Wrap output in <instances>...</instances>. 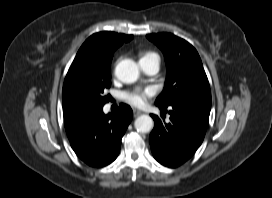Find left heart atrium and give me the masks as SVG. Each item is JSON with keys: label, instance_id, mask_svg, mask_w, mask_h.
<instances>
[{"label": "left heart atrium", "instance_id": "1", "mask_svg": "<svg viewBox=\"0 0 272 198\" xmlns=\"http://www.w3.org/2000/svg\"><path fill=\"white\" fill-rule=\"evenodd\" d=\"M152 92L147 89L143 91H136L125 94V99L128 103H130L133 106H141L143 105L146 100L151 97Z\"/></svg>", "mask_w": 272, "mask_h": 198}]
</instances>
